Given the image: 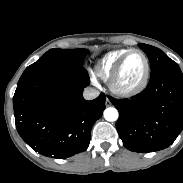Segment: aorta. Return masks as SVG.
Masks as SVG:
<instances>
[{
  "mask_svg": "<svg viewBox=\"0 0 183 183\" xmlns=\"http://www.w3.org/2000/svg\"><path fill=\"white\" fill-rule=\"evenodd\" d=\"M103 115H104L105 120H107L109 122L116 121L119 116L117 109H115L113 107L106 108L104 110Z\"/></svg>",
  "mask_w": 183,
  "mask_h": 183,
  "instance_id": "obj_1",
  "label": "aorta"
}]
</instances>
